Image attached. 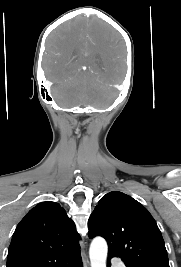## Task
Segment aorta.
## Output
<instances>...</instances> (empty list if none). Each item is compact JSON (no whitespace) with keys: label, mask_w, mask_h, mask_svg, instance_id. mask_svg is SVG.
Segmentation results:
<instances>
[{"label":"aorta","mask_w":181,"mask_h":267,"mask_svg":"<svg viewBox=\"0 0 181 267\" xmlns=\"http://www.w3.org/2000/svg\"><path fill=\"white\" fill-rule=\"evenodd\" d=\"M107 252L106 241L101 237L94 238L89 249L91 267H106Z\"/></svg>","instance_id":"762f6f07"}]
</instances>
